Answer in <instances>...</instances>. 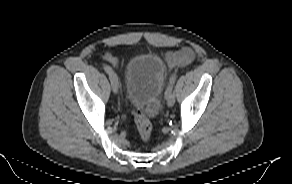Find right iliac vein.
<instances>
[{"label": "right iliac vein", "instance_id": "63e3f726", "mask_svg": "<svg viewBox=\"0 0 292 184\" xmlns=\"http://www.w3.org/2000/svg\"><path fill=\"white\" fill-rule=\"evenodd\" d=\"M109 78H110V81H111L112 90L116 94L118 92V78H117V75L114 72H112L109 75Z\"/></svg>", "mask_w": 292, "mask_h": 184}]
</instances>
